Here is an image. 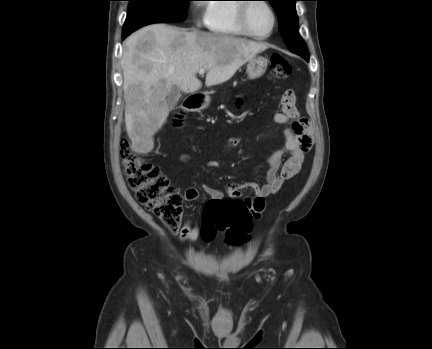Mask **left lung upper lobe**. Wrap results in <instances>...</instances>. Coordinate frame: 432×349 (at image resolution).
Segmentation results:
<instances>
[{
  "mask_svg": "<svg viewBox=\"0 0 432 349\" xmlns=\"http://www.w3.org/2000/svg\"><path fill=\"white\" fill-rule=\"evenodd\" d=\"M267 1L274 7L278 15L279 28L289 50L298 55H308L306 46L297 30L298 17L295 9L297 0Z\"/></svg>",
  "mask_w": 432,
  "mask_h": 349,
  "instance_id": "1",
  "label": "left lung upper lobe"
}]
</instances>
